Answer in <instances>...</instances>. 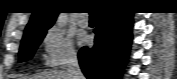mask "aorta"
Masks as SVG:
<instances>
[{
  "instance_id": "1",
  "label": "aorta",
  "mask_w": 177,
  "mask_h": 79,
  "mask_svg": "<svg viewBox=\"0 0 177 79\" xmlns=\"http://www.w3.org/2000/svg\"><path fill=\"white\" fill-rule=\"evenodd\" d=\"M66 25V18L64 15H60L55 23L57 27H64Z\"/></svg>"
}]
</instances>
